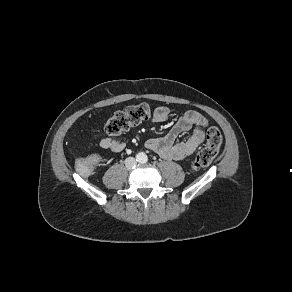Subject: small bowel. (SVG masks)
Listing matches in <instances>:
<instances>
[{
  "label": "small bowel",
  "instance_id": "small-bowel-1",
  "mask_svg": "<svg viewBox=\"0 0 292 292\" xmlns=\"http://www.w3.org/2000/svg\"><path fill=\"white\" fill-rule=\"evenodd\" d=\"M170 111L165 106L157 107L153 113L154 122H164L168 119ZM208 127L207 119L197 111L184 113L171 130L163 137L151 138L146 142V147L167 160H182L191 155L203 143L205 130ZM192 130L190 136L175 142L183 132ZM101 148L120 153L125 150L124 142L114 140L106 135L100 138Z\"/></svg>",
  "mask_w": 292,
  "mask_h": 292
}]
</instances>
